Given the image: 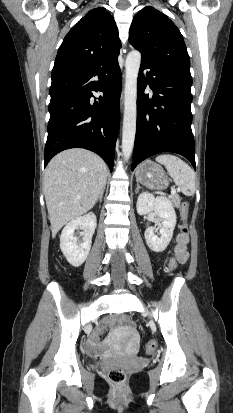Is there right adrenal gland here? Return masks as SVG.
Segmentation results:
<instances>
[{
  "instance_id": "obj_1",
  "label": "right adrenal gland",
  "mask_w": 233,
  "mask_h": 413,
  "mask_svg": "<svg viewBox=\"0 0 233 413\" xmlns=\"http://www.w3.org/2000/svg\"><path fill=\"white\" fill-rule=\"evenodd\" d=\"M105 187H106V184H105V186L103 187V189L101 190L99 196L97 197L96 202H97L98 200H99L100 202H102V197H103V194H104Z\"/></svg>"
}]
</instances>
